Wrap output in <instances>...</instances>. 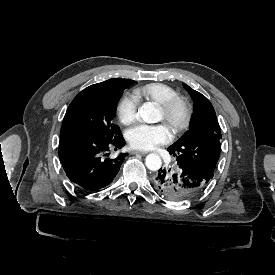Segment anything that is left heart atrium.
Listing matches in <instances>:
<instances>
[{
  "label": "left heart atrium",
  "mask_w": 275,
  "mask_h": 275,
  "mask_svg": "<svg viewBox=\"0 0 275 275\" xmlns=\"http://www.w3.org/2000/svg\"><path fill=\"white\" fill-rule=\"evenodd\" d=\"M126 139L133 149L152 150L170 142L173 138L172 130L164 123H138L125 133Z\"/></svg>",
  "instance_id": "obj_1"
}]
</instances>
